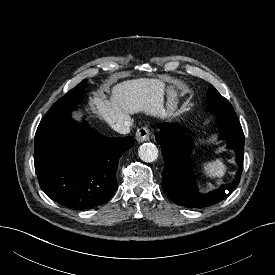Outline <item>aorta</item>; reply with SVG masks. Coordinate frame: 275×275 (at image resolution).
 Segmentation results:
<instances>
[{"label": "aorta", "instance_id": "1", "mask_svg": "<svg viewBox=\"0 0 275 275\" xmlns=\"http://www.w3.org/2000/svg\"><path fill=\"white\" fill-rule=\"evenodd\" d=\"M138 155L144 162H154L158 158V149L153 143H144L139 147Z\"/></svg>", "mask_w": 275, "mask_h": 275}]
</instances>
